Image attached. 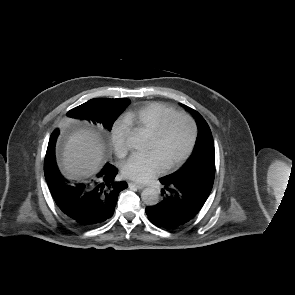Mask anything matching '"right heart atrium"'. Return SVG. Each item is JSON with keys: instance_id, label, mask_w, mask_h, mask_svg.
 <instances>
[{"instance_id": "d8ad5b80", "label": "right heart atrium", "mask_w": 295, "mask_h": 295, "mask_svg": "<svg viewBox=\"0 0 295 295\" xmlns=\"http://www.w3.org/2000/svg\"><path fill=\"white\" fill-rule=\"evenodd\" d=\"M128 127L125 123L117 121L113 124L110 132V140L115 154L124 157L127 154Z\"/></svg>"}]
</instances>
